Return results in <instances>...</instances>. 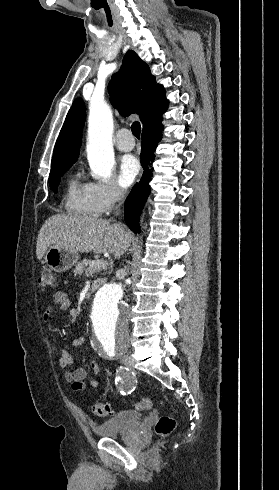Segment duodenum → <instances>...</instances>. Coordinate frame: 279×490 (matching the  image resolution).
<instances>
[{"mask_svg":"<svg viewBox=\"0 0 279 490\" xmlns=\"http://www.w3.org/2000/svg\"><path fill=\"white\" fill-rule=\"evenodd\" d=\"M103 283H104L103 279L95 280L90 286L89 293H93L97 291L103 285Z\"/></svg>","mask_w":279,"mask_h":490,"instance_id":"1","label":"duodenum"}]
</instances>
